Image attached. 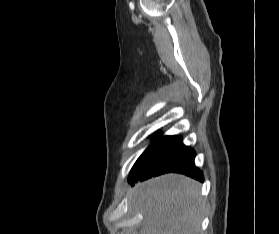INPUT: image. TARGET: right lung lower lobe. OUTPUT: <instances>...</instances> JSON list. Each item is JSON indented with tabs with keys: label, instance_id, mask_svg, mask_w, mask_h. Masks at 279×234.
I'll return each mask as SVG.
<instances>
[{
	"label": "right lung lower lobe",
	"instance_id": "1",
	"mask_svg": "<svg viewBox=\"0 0 279 234\" xmlns=\"http://www.w3.org/2000/svg\"><path fill=\"white\" fill-rule=\"evenodd\" d=\"M153 142L134 164L128 181L134 185L152 176L168 172L186 174L203 181V175L194 165L195 152L182 143L181 137L153 136Z\"/></svg>",
	"mask_w": 279,
	"mask_h": 234
}]
</instances>
